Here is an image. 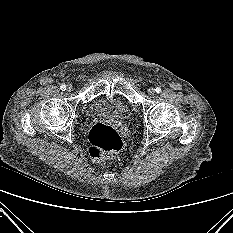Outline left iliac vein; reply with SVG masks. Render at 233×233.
I'll return each instance as SVG.
<instances>
[{
    "instance_id": "4c4485c4",
    "label": "left iliac vein",
    "mask_w": 233,
    "mask_h": 233,
    "mask_svg": "<svg viewBox=\"0 0 233 233\" xmlns=\"http://www.w3.org/2000/svg\"><path fill=\"white\" fill-rule=\"evenodd\" d=\"M155 93V89L154 88H149L148 89V94L149 95H153Z\"/></svg>"
}]
</instances>
